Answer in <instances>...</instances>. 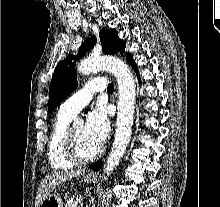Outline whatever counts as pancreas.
I'll use <instances>...</instances> for the list:
<instances>
[{
    "label": "pancreas",
    "instance_id": "pancreas-1",
    "mask_svg": "<svg viewBox=\"0 0 220 207\" xmlns=\"http://www.w3.org/2000/svg\"><path fill=\"white\" fill-rule=\"evenodd\" d=\"M65 207H82V204L78 205V202H70L68 201Z\"/></svg>",
    "mask_w": 220,
    "mask_h": 207
}]
</instances>
